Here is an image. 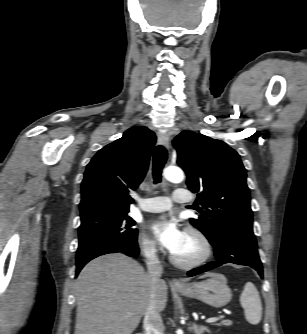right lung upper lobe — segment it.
Returning <instances> with one entry per match:
<instances>
[{"instance_id":"obj_1","label":"right lung upper lobe","mask_w":307,"mask_h":334,"mask_svg":"<svg viewBox=\"0 0 307 334\" xmlns=\"http://www.w3.org/2000/svg\"><path fill=\"white\" fill-rule=\"evenodd\" d=\"M156 143L146 127H132L102 148L87 165L81 186V217L101 212L128 213L130 190L142 182Z\"/></svg>"}]
</instances>
